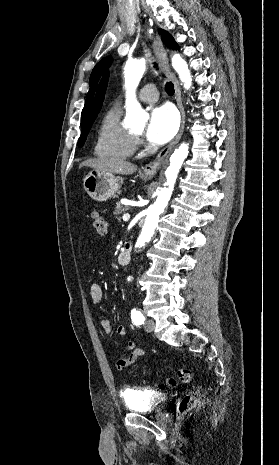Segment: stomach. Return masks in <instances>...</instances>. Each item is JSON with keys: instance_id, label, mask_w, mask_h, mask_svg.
Masks as SVG:
<instances>
[{"instance_id": "obj_1", "label": "stomach", "mask_w": 279, "mask_h": 465, "mask_svg": "<svg viewBox=\"0 0 279 465\" xmlns=\"http://www.w3.org/2000/svg\"><path fill=\"white\" fill-rule=\"evenodd\" d=\"M148 180L150 177L145 176ZM122 179L112 173H104L97 170L90 171L83 180V187L87 194L95 201H106L113 197L120 189Z\"/></svg>"}]
</instances>
